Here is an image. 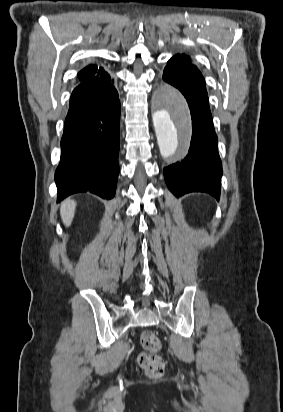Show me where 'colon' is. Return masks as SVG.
Listing matches in <instances>:
<instances>
[{
  "label": "colon",
  "mask_w": 283,
  "mask_h": 412,
  "mask_svg": "<svg viewBox=\"0 0 283 412\" xmlns=\"http://www.w3.org/2000/svg\"><path fill=\"white\" fill-rule=\"evenodd\" d=\"M143 351L139 353L137 361L141 369L150 377L158 378L165 370V362L159 355L161 341L155 332L146 330L140 335Z\"/></svg>",
  "instance_id": "1"
}]
</instances>
